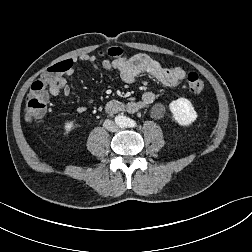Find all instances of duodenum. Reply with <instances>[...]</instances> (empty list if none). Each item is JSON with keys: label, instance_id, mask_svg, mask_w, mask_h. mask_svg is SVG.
Masks as SVG:
<instances>
[{"label": "duodenum", "instance_id": "410a0bca", "mask_svg": "<svg viewBox=\"0 0 252 252\" xmlns=\"http://www.w3.org/2000/svg\"><path fill=\"white\" fill-rule=\"evenodd\" d=\"M123 109L127 110V106L124 107L116 101H111L105 105V111L109 114L117 113Z\"/></svg>", "mask_w": 252, "mask_h": 252}]
</instances>
